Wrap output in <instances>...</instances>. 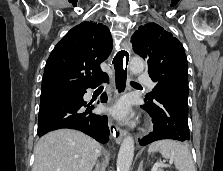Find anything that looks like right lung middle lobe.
I'll list each match as a JSON object with an SVG mask.
<instances>
[{"mask_svg": "<svg viewBox=\"0 0 223 171\" xmlns=\"http://www.w3.org/2000/svg\"><path fill=\"white\" fill-rule=\"evenodd\" d=\"M72 93H77V92L63 93V94H72ZM63 94H59V95H63Z\"/></svg>", "mask_w": 223, "mask_h": 171, "instance_id": "right-lung-middle-lobe-1", "label": "right lung middle lobe"}]
</instances>
